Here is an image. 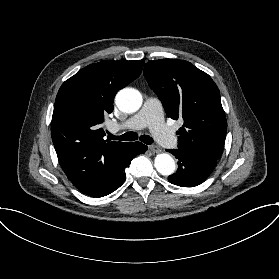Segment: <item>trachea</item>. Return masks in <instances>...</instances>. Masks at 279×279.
<instances>
[{"label": "trachea", "instance_id": "3493384b", "mask_svg": "<svg viewBox=\"0 0 279 279\" xmlns=\"http://www.w3.org/2000/svg\"><path fill=\"white\" fill-rule=\"evenodd\" d=\"M108 137L110 140H121V141H126V140H137L138 139V135L135 132H127L123 135L120 136H115L112 135L111 133L108 134ZM140 141L149 145L153 143V139L149 136V135H142L140 136Z\"/></svg>", "mask_w": 279, "mask_h": 279}]
</instances>
